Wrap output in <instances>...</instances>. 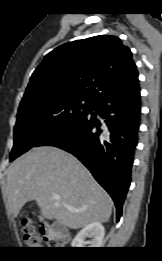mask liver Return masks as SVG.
<instances>
[{
    "instance_id": "liver-1",
    "label": "liver",
    "mask_w": 162,
    "mask_h": 261,
    "mask_svg": "<svg viewBox=\"0 0 162 261\" xmlns=\"http://www.w3.org/2000/svg\"><path fill=\"white\" fill-rule=\"evenodd\" d=\"M6 192L14 217L26 202L35 200L45 218L71 229L105 223L112 212L110 196L83 164L52 146L34 148L16 159L7 173Z\"/></svg>"
}]
</instances>
